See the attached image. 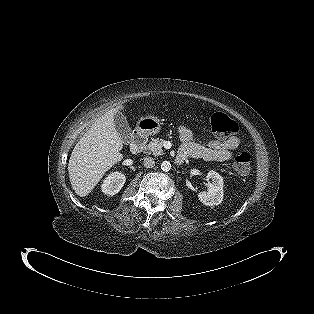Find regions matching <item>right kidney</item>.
<instances>
[{
  "label": "right kidney",
  "mask_w": 314,
  "mask_h": 314,
  "mask_svg": "<svg viewBox=\"0 0 314 314\" xmlns=\"http://www.w3.org/2000/svg\"><path fill=\"white\" fill-rule=\"evenodd\" d=\"M126 181L125 176L120 172H114L108 175L101 186L104 194L113 196L117 194Z\"/></svg>",
  "instance_id": "obj_1"
}]
</instances>
